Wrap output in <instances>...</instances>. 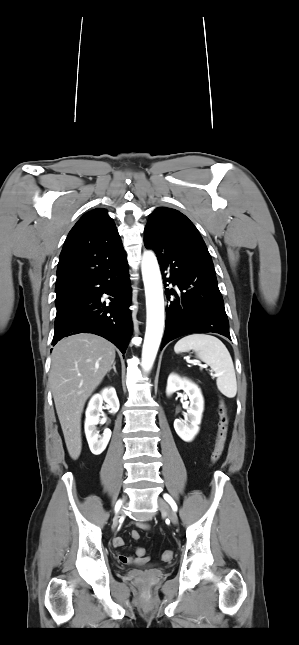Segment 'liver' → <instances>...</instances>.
<instances>
[{"label":"liver","mask_w":299,"mask_h":645,"mask_svg":"<svg viewBox=\"0 0 299 645\" xmlns=\"http://www.w3.org/2000/svg\"><path fill=\"white\" fill-rule=\"evenodd\" d=\"M115 361V347L104 338L81 333L59 341L51 356L49 382L72 459L82 448L81 415L86 400Z\"/></svg>","instance_id":"liver-1"}]
</instances>
